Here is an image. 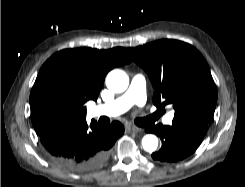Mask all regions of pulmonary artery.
Wrapping results in <instances>:
<instances>
[{"label":"pulmonary artery","instance_id":"1","mask_svg":"<svg viewBox=\"0 0 245 187\" xmlns=\"http://www.w3.org/2000/svg\"><path fill=\"white\" fill-rule=\"evenodd\" d=\"M146 102V81L142 75L132 78L126 92L110 103L91 108L90 113L94 117L117 116L128 111L133 105H143ZM174 114H168L163 122L171 124Z\"/></svg>","mask_w":245,"mask_h":187}]
</instances>
